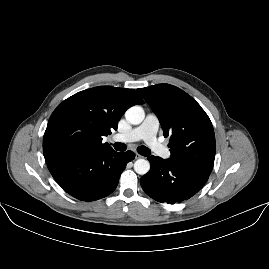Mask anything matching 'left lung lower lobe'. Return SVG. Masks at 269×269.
Returning a JSON list of instances; mask_svg holds the SVG:
<instances>
[{"label": "left lung lower lobe", "mask_w": 269, "mask_h": 269, "mask_svg": "<svg viewBox=\"0 0 269 269\" xmlns=\"http://www.w3.org/2000/svg\"><path fill=\"white\" fill-rule=\"evenodd\" d=\"M148 160L151 169L140 179V184L147 195L162 203H180L191 198L210 175L160 157L150 156Z\"/></svg>", "instance_id": "obj_1"}]
</instances>
